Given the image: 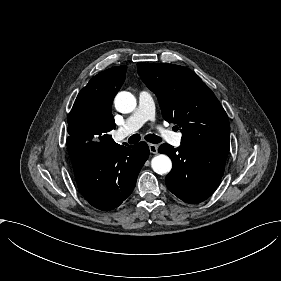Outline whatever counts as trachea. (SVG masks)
<instances>
[{"label": "trachea", "instance_id": "3493384b", "mask_svg": "<svg viewBox=\"0 0 281 281\" xmlns=\"http://www.w3.org/2000/svg\"><path fill=\"white\" fill-rule=\"evenodd\" d=\"M145 139L148 142L154 143V144L160 143L162 141L161 137H158L155 134H148V135L145 136ZM139 140H140V135L134 134L129 138L128 141H129L130 144H135V143L139 142Z\"/></svg>", "mask_w": 281, "mask_h": 281}]
</instances>
